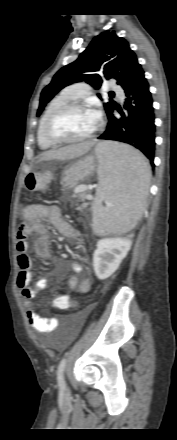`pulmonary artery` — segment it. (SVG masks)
I'll list each match as a JSON object with an SVG mask.
<instances>
[{
  "mask_svg": "<svg viewBox=\"0 0 177 440\" xmlns=\"http://www.w3.org/2000/svg\"><path fill=\"white\" fill-rule=\"evenodd\" d=\"M111 89L117 93L120 96H123V91L120 86L116 84L111 85ZM67 92L73 97V98H81L87 94H89V87L85 84L77 85L74 87H71L67 90Z\"/></svg>",
  "mask_w": 177,
  "mask_h": 440,
  "instance_id": "1",
  "label": "pulmonary artery"
}]
</instances>
